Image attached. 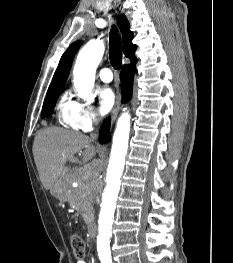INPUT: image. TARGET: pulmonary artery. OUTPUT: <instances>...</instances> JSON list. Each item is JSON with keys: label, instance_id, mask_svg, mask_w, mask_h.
<instances>
[{"label": "pulmonary artery", "instance_id": "1", "mask_svg": "<svg viewBox=\"0 0 233 263\" xmlns=\"http://www.w3.org/2000/svg\"><path fill=\"white\" fill-rule=\"evenodd\" d=\"M99 77L103 82L109 83L113 80V73L110 68H102L99 71Z\"/></svg>", "mask_w": 233, "mask_h": 263}]
</instances>
